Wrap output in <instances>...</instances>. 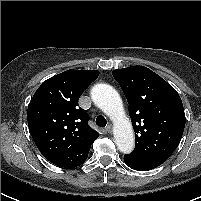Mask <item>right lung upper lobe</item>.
<instances>
[{
  "label": "right lung upper lobe",
  "instance_id": "obj_1",
  "mask_svg": "<svg viewBox=\"0 0 201 201\" xmlns=\"http://www.w3.org/2000/svg\"><path fill=\"white\" fill-rule=\"evenodd\" d=\"M99 76L97 70H67L44 81L27 111L31 136L39 151L60 167H76L88 156L99 134L78 107L84 90Z\"/></svg>",
  "mask_w": 201,
  "mask_h": 201
}]
</instances>
